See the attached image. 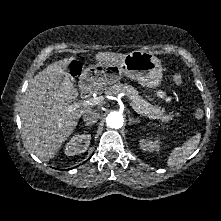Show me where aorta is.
Returning <instances> with one entry per match:
<instances>
[{
	"label": "aorta",
	"mask_w": 221,
	"mask_h": 221,
	"mask_svg": "<svg viewBox=\"0 0 221 221\" xmlns=\"http://www.w3.org/2000/svg\"><path fill=\"white\" fill-rule=\"evenodd\" d=\"M123 116L120 112L112 111L106 118L107 126L112 129H119L123 126Z\"/></svg>",
	"instance_id": "762f6f07"
}]
</instances>
